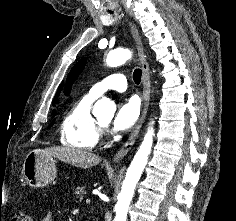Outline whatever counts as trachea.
<instances>
[{
  "label": "trachea",
  "instance_id": "3493384b",
  "mask_svg": "<svg viewBox=\"0 0 236 221\" xmlns=\"http://www.w3.org/2000/svg\"><path fill=\"white\" fill-rule=\"evenodd\" d=\"M142 76V70L141 69H135L133 73V80L136 84H139L141 81Z\"/></svg>",
  "mask_w": 236,
  "mask_h": 221
}]
</instances>
